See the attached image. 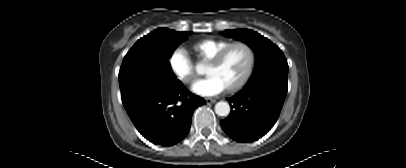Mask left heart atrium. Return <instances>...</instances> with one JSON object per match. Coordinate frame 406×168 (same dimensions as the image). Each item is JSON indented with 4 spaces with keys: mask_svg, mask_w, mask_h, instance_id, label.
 <instances>
[{
    "mask_svg": "<svg viewBox=\"0 0 406 168\" xmlns=\"http://www.w3.org/2000/svg\"><path fill=\"white\" fill-rule=\"evenodd\" d=\"M192 90L194 93L201 96H214L223 92L225 87L216 77L208 75L207 77L194 82Z\"/></svg>",
    "mask_w": 406,
    "mask_h": 168,
    "instance_id": "39dd6f15",
    "label": "left heart atrium"
}]
</instances>
